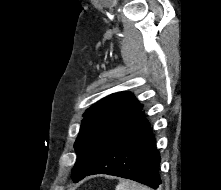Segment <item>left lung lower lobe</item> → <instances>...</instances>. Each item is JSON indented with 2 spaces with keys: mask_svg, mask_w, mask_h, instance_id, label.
I'll list each match as a JSON object with an SVG mask.
<instances>
[{
  "mask_svg": "<svg viewBox=\"0 0 221 190\" xmlns=\"http://www.w3.org/2000/svg\"><path fill=\"white\" fill-rule=\"evenodd\" d=\"M159 165L155 135L144 111H140L114 136L90 171L80 179L87 175L108 174L157 189L162 183Z\"/></svg>",
  "mask_w": 221,
  "mask_h": 190,
  "instance_id": "left-lung-lower-lobe-1",
  "label": "left lung lower lobe"
}]
</instances>
